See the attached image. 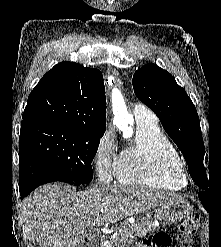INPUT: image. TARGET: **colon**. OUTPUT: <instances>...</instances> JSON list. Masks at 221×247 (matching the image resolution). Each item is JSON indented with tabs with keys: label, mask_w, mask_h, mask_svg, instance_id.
<instances>
[{
	"label": "colon",
	"mask_w": 221,
	"mask_h": 247,
	"mask_svg": "<svg viewBox=\"0 0 221 247\" xmlns=\"http://www.w3.org/2000/svg\"><path fill=\"white\" fill-rule=\"evenodd\" d=\"M198 219L199 215L197 213H192L186 217L180 226L176 241L166 234L159 233L145 242L149 247H187L191 242L192 236L197 231ZM78 247H89V245L82 243Z\"/></svg>",
	"instance_id": "colon-1"
}]
</instances>
